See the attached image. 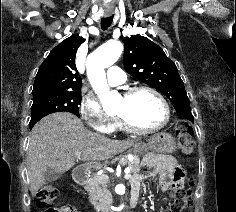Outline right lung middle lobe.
Segmentation results:
<instances>
[{
  "mask_svg": "<svg viewBox=\"0 0 236 212\" xmlns=\"http://www.w3.org/2000/svg\"><path fill=\"white\" fill-rule=\"evenodd\" d=\"M80 103L81 91H56L33 95L29 126L33 127L41 118L54 112L66 111L80 117L78 107Z\"/></svg>",
  "mask_w": 236,
  "mask_h": 212,
  "instance_id": "right-lung-middle-lobe-1",
  "label": "right lung middle lobe"
}]
</instances>
